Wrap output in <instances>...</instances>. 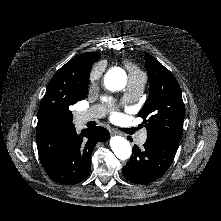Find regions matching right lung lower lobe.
<instances>
[{"label":"right lung lower lobe","instance_id":"1","mask_svg":"<svg viewBox=\"0 0 221 221\" xmlns=\"http://www.w3.org/2000/svg\"><path fill=\"white\" fill-rule=\"evenodd\" d=\"M109 136L108 130L99 126L82 130L80 134L72 129L61 139L47 174L55 182L65 185L83 181L90 173L94 147L100 141H107Z\"/></svg>","mask_w":221,"mask_h":221}]
</instances>
